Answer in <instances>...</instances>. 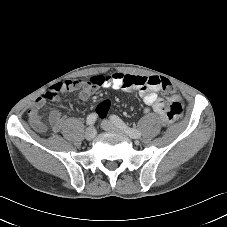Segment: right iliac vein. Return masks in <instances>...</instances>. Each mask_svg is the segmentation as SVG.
Here are the masks:
<instances>
[{
    "label": "right iliac vein",
    "mask_w": 227,
    "mask_h": 227,
    "mask_svg": "<svg viewBox=\"0 0 227 227\" xmlns=\"http://www.w3.org/2000/svg\"><path fill=\"white\" fill-rule=\"evenodd\" d=\"M96 136V130L94 127H89L87 128L86 132H85V138L87 140H92L94 139Z\"/></svg>",
    "instance_id": "63e3f726"
}]
</instances>
